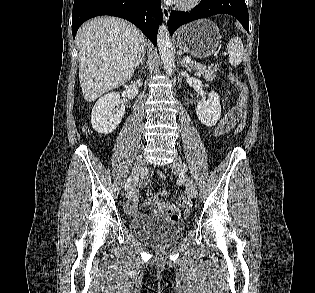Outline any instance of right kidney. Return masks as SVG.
Listing matches in <instances>:
<instances>
[{"label":"right kidney","mask_w":315,"mask_h":293,"mask_svg":"<svg viewBox=\"0 0 315 293\" xmlns=\"http://www.w3.org/2000/svg\"><path fill=\"white\" fill-rule=\"evenodd\" d=\"M124 113L125 107L120 106L119 93H108L98 99L92 109V127L98 133L108 135L120 124Z\"/></svg>","instance_id":"ca27d5eb"}]
</instances>
